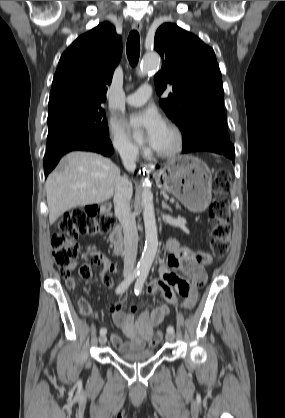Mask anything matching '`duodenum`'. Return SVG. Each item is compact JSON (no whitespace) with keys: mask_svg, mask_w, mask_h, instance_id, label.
I'll list each match as a JSON object with an SVG mask.
<instances>
[{"mask_svg":"<svg viewBox=\"0 0 285 418\" xmlns=\"http://www.w3.org/2000/svg\"><path fill=\"white\" fill-rule=\"evenodd\" d=\"M110 242L113 245L114 253L118 256L122 253V230L120 226H116L110 234Z\"/></svg>","mask_w":285,"mask_h":418,"instance_id":"obj_1","label":"duodenum"}]
</instances>
